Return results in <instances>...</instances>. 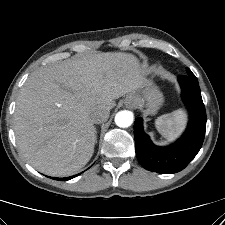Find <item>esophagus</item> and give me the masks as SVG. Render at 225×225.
<instances>
[{
    "mask_svg": "<svg viewBox=\"0 0 225 225\" xmlns=\"http://www.w3.org/2000/svg\"><path fill=\"white\" fill-rule=\"evenodd\" d=\"M125 105H126L127 108L132 109V108L135 107V102L131 97H129V98L126 99Z\"/></svg>",
    "mask_w": 225,
    "mask_h": 225,
    "instance_id": "34e87169",
    "label": "esophagus"
}]
</instances>
